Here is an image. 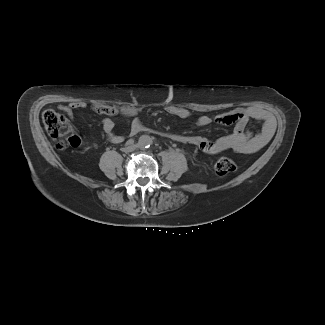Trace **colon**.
<instances>
[{
	"label": "colon",
	"mask_w": 325,
	"mask_h": 325,
	"mask_svg": "<svg viewBox=\"0 0 325 325\" xmlns=\"http://www.w3.org/2000/svg\"><path fill=\"white\" fill-rule=\"evenodd\" d=\"M42 121L47 132L58 140L57 146L63 148L67 145L77 146V136H67L70 133V124L66 117L53 109H47L42 114ZM214 170L218 175H227L236 170L235 162L227 157L216 160Z\"/></svg>",
	"instance_id": "colon-1"
}]
</instances>
